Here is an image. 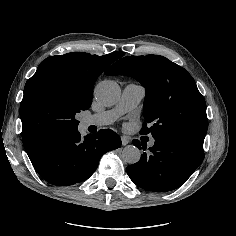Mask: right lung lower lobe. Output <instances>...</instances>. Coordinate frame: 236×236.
<instances>
[{
    "label": "right lung lower lobe",
    "instance_id": "obj_1",
    "mask_svg": "<svg viewBox=\"0 0 236 236\" xmlns=\"http://www.w3.org/2000/svg\"><path fill=\"white\" fill-rule=\"evenodd\" d=\"M120 146L119 135L110 129L84 138L77 130L52 140L30 159L35 170L46 181L67 186L89 178L101 156Z\"/></svg>",
    "mask_w": 236,
    "mask_h": 236
}]
</instances>
